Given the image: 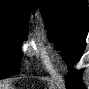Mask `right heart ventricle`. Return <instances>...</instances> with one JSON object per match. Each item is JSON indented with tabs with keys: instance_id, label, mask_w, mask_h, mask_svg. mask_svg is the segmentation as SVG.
<instances>
[{
	"instance_id": "e07e8e85",
	"label": "right heart ventricle",
	"mask_w": 89,
	"mask_h": 89,
	"mask_svg": "<svg viewBox=\"0 0 89 89\" xmlns=\"http://www.w3.org/2000/svg\"><path fill=\"white\" fill-rule=\"evenodd\" d=\"M40 28H41V29H40V30H41V32H43V31H44V30H43V28H42V27H40Z\"/></svg>"
}]
</instances>
